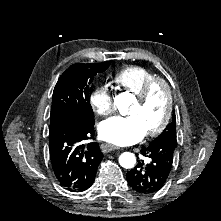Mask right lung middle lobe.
Returning <instances> with one entry per match:
<instances>
[{"mask_svg":"<svg viewBox=\"0 0 221 221\" xmlns=\"http://www.w3.org/2000/svg\"><path fill=\"white\" fill-rule=\"evenodd\" d=\"M111 64L76 63L60 76L53 91L50 127L64 120L94 123L90 105V85L98 73L104 72Z\"/></svg>","mask_w":221,"mask_h":221,"instance_id":"right-lung-middle-lobe-1","label":"right lung middle lobe"}]
</instances>
